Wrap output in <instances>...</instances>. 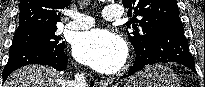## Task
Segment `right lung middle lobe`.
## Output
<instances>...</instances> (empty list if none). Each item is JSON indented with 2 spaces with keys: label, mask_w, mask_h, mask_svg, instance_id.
<instances>
[{
  "label": "right lung middle lobe",
  "mask_w": 205,
  "mask_h": 87,
  "mask_svg": "<svg viewBox=\"0 0 205 87\" xmlns=\"http://www.w3.org/2000/svg\"><path fill=\"white\" fill-rule=\"evenodd\" d=\"M57 28L28 30L16 32L13 38V45L36 44L50 49H61L64 43L60 42L55 32Z\"/></svg>",
  "instance_id": "dd1d6c3e"
}]
</instances>
